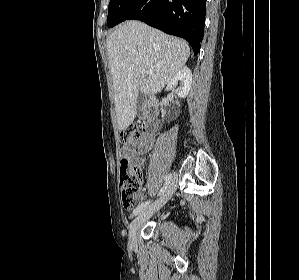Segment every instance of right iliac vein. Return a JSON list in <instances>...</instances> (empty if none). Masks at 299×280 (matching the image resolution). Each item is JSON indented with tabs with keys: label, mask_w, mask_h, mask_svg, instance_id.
I'll return each mask as SVG.
<instances>
[{
	"label": "right iliac vein",
	"mask_w": 299,
	"mask_h": 280,
	"mask_svg": "<svg viewBox=\"0 0 299 280\" xmlns=\"http://www.w3.org/2000/svg\"><path fill=\"white\" fill-rule=\"evenodd\" d=\"M177 187V179L174 176L171 184L168 186L166 191L161 195V197L151 206L145 208L139 213V215L131 222L129 226V244L132 248L136 247V234L140 226L147 221L157 210H159L163 205H165L169 199L173 196Z\"/></svg>",
	"instance_id": "obj_1"
}]
</instances>
